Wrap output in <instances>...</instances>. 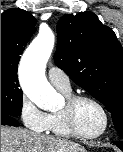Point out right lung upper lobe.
<instances>
[{"label": "right lung upper lobe", "instance_id": "cb5924a9", "mask_svg": "<svg viewBox=\"0 0 123 152\" xmlns=\"http://www.w3.org/2000/svg\"><path fill=\"white\" fill-rule=\"evenodd\" d=\"M36 19L27 11L12 8L1 15V72L17 74L20 55L35 32Z\"/></svg>", "mask_w": 123, "mask_h": 152}]
</instances>
